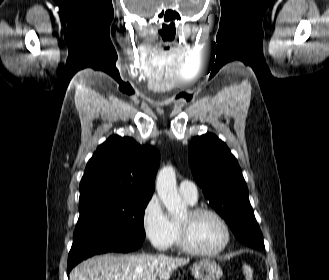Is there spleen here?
<instances>
[{"mask_svg":"<svg viewBox=\"0 0 329 280\" xmlns=\"http://www.w3.org/2000/svg\"><path fill=\"white\" fill-rule=\"evenodd\" d=\"M243 273L246 277V280H252L253 279V270L250 266L244 264L243 265Z\"/></svg>","mask_w":329,"mask_h":280,"instance_id":"3e777b00","label":"spleen"}]
</instances>
